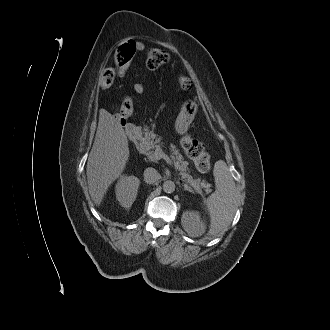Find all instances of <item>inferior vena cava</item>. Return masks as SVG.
I'll use <instances>...</instances> for the list:
<instances>
[{"label":"inferior vena cava","instance_id":"602c4592","mask_svg":"<svg viewBox=\"0 0 330 330\" xmlns=\"http://www.w3.org/2000/svg\"><path fill=\"white\" fill-rule=\"evenodd\" d=\"M143 175L144 181L148 184H153L160 178L158 171L152 167L146 168Z\"/></svg>","mask_w":330,"mask_h":330}]
</instances>
